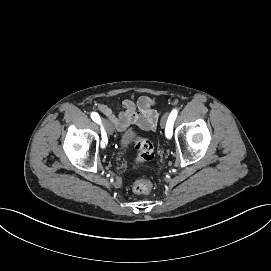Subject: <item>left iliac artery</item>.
Masks as SVG:
<instances>
[{
  "mask_svg": "<svg viewBox=\"0 0 271 271\" xmlns=\"http://www.w3.org/2000/svg\"><path fill=\"white\" fill-rule=\"evenodd\" d=\"M177 113H178L177 109L172 110L167 120L165 136L166 139L170 141L174 140V137L171 134L173 129V123L177 117Z\"/></svg>",
  "mask_w": 271,
  "mask_h": 271,
  "instance_id": "left-iliac-artery-1",
  "label": "left iliac artery"
}]
</instances>
